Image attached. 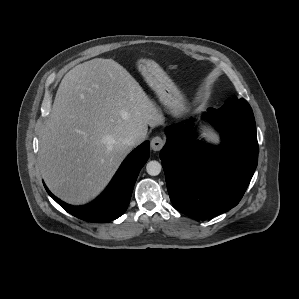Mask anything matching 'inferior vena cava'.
I'll return each instance as SVG.
<instances>
[{
    "instance_id": "inferior-vena-cava-1",
    "label": "inferior vena cava",
    "mask_w": 299,
    "mask_h": 299,
    "mask_svg": "<svg viewBox=\"0 0 299 299\" xmlns=\"http://www.w3.org/2000/svg\"><path fill=\"white\" fill-rule=\"evenodd\" d=\"M145 139V136L142 134H135L125 138L122 141V144L128 147H134L140 144Z\"/></svg>"
}]
</instances>
